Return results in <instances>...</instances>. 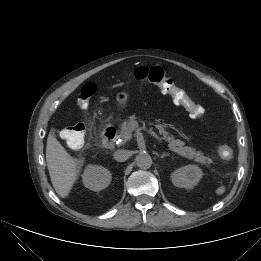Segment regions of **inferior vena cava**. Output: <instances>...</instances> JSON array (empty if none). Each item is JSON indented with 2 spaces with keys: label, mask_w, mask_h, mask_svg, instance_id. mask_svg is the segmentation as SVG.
<instances>
[{
  "label": "inferior vena cava",
  "mask_w": 261,
  "mask_h": 261,
  "mask_svg": "<svg viewBox=\"0 0 261 261\" xmlns=\"http://www.w3.org/2000/svg\"><path fill=\"white\" fill-rule=\"evenodd\" d=\"M114 156V159L118 162H124L126 161L127 159H129V157L131 156V152L128 151V150H117L114 152L113 154Z\"/></svg>",
  "instance_id": "602c4592"
}]
</instances>
